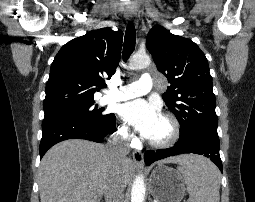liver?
<instances>
[{
	"label": "liver",
	"mask_w": 255,
	"mask_h": 202,
	"mask_svg": "<svg viewBox=\"0 0 255 202\" xmlns=\"http://www.w3.org/2000/svg\"><path fill=\"white\" fill-rule=\"evenodd\" d=\"M191 155H180L160 161L184 164ZM119 169L124 185L132 178L130 159L118 163L106 145L70 139L47 151L39 167L41 202H100L105 187Z\"/></svg>",
	"instance_id": "6515ba94"
}]
</instances>
